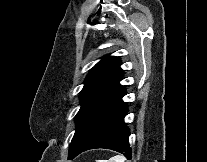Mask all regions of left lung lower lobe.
Instances as JSON below:
<instances>
[{
	"label": "left lung lower lobe",
	"mask_w": 207,
	"mask_h": 162,
	"mask_svg": "<svg viewBox=\"0 0 207 162\" xmlns=\"http://www.w3.org/2000/svg\"><path fill=\"white\" fill-rule=\"evenodd\" d=\"M125 93V88L122 87L91 115L70 145L69 159L89 149L107 148L122 153L131 160L128 140L130 131L124 122L127 105L122 101Z\"/></svg>",
	"instance_id": "obj_1"
}]
</instances>
